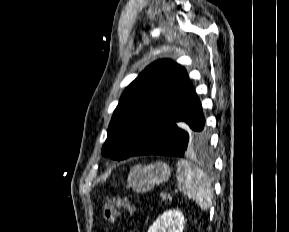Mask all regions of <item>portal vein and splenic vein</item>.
<instances>
[{"label": "portal vein and splenic vein", "mask_w": 289, "mask_h": 232, "mask_svg": "<svg viewBox=\"0 0 289 232\" xmlns=\"http://www.w3.org/2000/svg\"><path fill=\"white\" fill-rule=\"evenodd\" d=\"M168 198H170V194H168V195H163V196H162V201H166Z\"/></svg>", "instance_id": "portal-vein-and-splenic-vein-1"}]
</instances>
